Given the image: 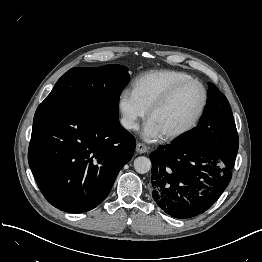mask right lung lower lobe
I'll use <instances>...</instances> for the list:
<instances>
[{
    "instance_id": "98d812e1",
    "label": "right lung lower lobe",
    "mask_w": 262,
    "mask_h": 262,
    "mask_svg": "<svg viewBox=\"0 0 262 262\" xmlns=\"http://www.w3.org/2000/svg\"><path fill=\"white\" fill-rule=\"evenodd\" d=\"M134 150L135 139L119 120L110 122L77 106L41 103L28 161L50 204L81 213L105 199Z\"/></svg>"
}]
</instances>
